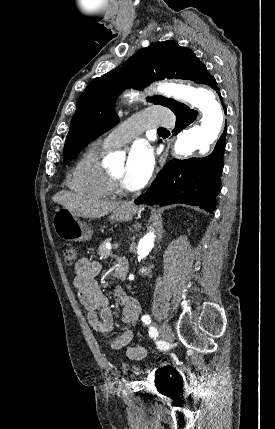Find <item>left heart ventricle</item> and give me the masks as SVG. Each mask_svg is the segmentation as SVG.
<instances>
[{
  "mask_svg": "<svg viewBox=\"0 0 275 429\" xmlns=\"http://www.w3.org/2000/svg\"><path fill=\"white\" fill-rule=\"evenodd\" d=\"M111 173L119 179L120 183L122 184V186L127 189L123 183V176H124V171H125V164L123 162L115 165L114 167H112L110 169Z\"/></svg>",
  "mask_w": 275,
  "mask_h": 429,
  "instance_id": "1",
  "label": "left heart ventricle"
}]
</instances>
